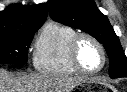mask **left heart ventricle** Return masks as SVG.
Here are the masks:
<instances>
[{
    "label": "left heart ventricle",
    "mask_w": 127,
    "mask_h": 92,
    "mask_svg": "<svg viewBox=\"0 0 127 92\" xmlns=\"http://www.w3.org/2000/svg\"><path fill=\"white\" fill-rule=\"evenodd\" d=\"M78 58L87 70H96L102 64V55L98 47L90 40L83 39L78 47Z\"/></svg>",
    "instance_id": "obj_1"
}]
</instances>
